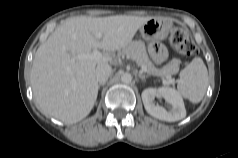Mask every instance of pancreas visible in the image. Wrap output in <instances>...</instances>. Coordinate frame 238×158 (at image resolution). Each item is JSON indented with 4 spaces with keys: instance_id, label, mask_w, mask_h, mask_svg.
<instances>
[{
    "instance_id": "1",
    "label": "pancreas",
    "mask_w": 238,
    "mask_h": 158,
    "mask_svg": "<svg viewBox=\"0 0 238 158\" xmlns=\"http://www.w3.org/2000/svg\"><path fill=\"white\" fill-rule=\"evenodd\" d=\"M121 54L128 56L132 60L136 61L138 66H145L147 68L148 75L161 77L165 85L173 83L171 75L174 73L176 63L172 61L160 69L156 68L147 54L144 42H130L126 47L121 50Z\"/></svg>"
}]
</instances>
